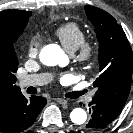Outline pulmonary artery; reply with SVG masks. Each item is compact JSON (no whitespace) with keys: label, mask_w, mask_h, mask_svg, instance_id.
<instances>
[{"label":"pulmonary artery","mask_w":133,"mask_h":133,"mask_svg":"<svg viewBox=\"0 0 133 133\" xmlns=\"http://www.w3.org/2000/svg\"><path fill=\"white\" fill-rule=\"evenodd\" d=\"M50 80L48 74H32L21 77L18 81L20 88H27L30 86H40L46 84ZM88 101H92V96L88 97Z\"/></svg>","instance_id":"obj_1"}]
</instances>
